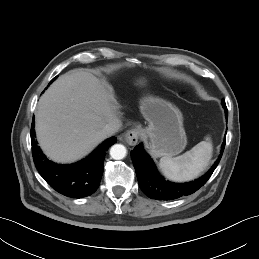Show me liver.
<instances>
[{
	"label": "liver",
	"instance_id": "liver-1",
	"mask_svg": "<svg viewBox=\"0 0 259 259\" xmlns=\"http://www.w3.org/2000/svg\"><path fill=\"white\" fill-rule=\"evenodd\" d=\"M120 108L108 82L84 69L69 71L38 102L35 130L39 144L55 162L80 160L107 138L106 124L121 126Z\"/></svg>",
	"mask_w": 259,
	"mask_h": 259
}]
</instances>
